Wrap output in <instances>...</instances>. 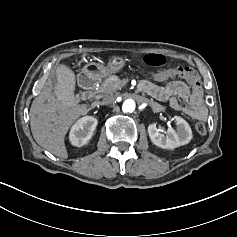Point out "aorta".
<instances>
[{"instance_id": "aorta-1", "label": "aorta", "mask_w": 237, "mask_h": 237, "mask_svg": "<svg viewBox=\"0 0 237 237\" xmlns=\"http://www.w3.org/2000/svg\"><path fill=\"white\" fill-rule=\"evenodd\" d=\"M122 109L124 112H133L135 110V101L133 99L125 100Z\"/></svg>"}]
</instances>
